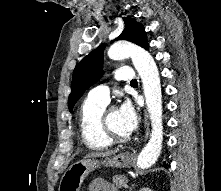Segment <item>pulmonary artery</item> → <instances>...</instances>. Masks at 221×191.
Instances as JSON below:
<instances>
[{
  "instance_id": "1",
  "label": "pulmonary artery",
  "mask_w": 221,
  "mask_h": 191,
  "mask_svg": "<svg viewBox=\"0 0 221 191\" xmlns=\"http://www.w3.org/2000/svg\"><path fill=\"white\" fill-rule=\"evenodd\" d=\"M116 78L130 83L135 79V72L130 67H122L116 72ZM87 97L97 102L108 103L110 100L109 88L106 85L97 86L89 91Z\"/></svg>"
}]
</instances>
